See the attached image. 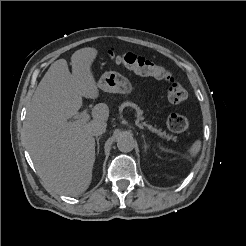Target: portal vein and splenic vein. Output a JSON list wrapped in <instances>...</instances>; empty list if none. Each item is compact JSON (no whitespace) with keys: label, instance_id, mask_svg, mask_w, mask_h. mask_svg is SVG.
Returning <instances> with one entry per match:
<instances>
[{"label":"portal vein and splenic vein","instance_id":"18ae733b","mask_svg":"<svg viewBox=\"0 0 246 246\" xmlns=\"http://www.w3.org/2000/svg\"><path fill=\"white\" fill-rule=\"evenodd\" d=\"M90 120V116L89 114H87L86 112L81 113L79 116L75 117V121L74 122H80V123H86ZM136 125L142 129L145 130L146 128L151 130L152 127L151 126H145L144 124L139 123L138 121L136 122Z\"/></svg>","mask_w":246,"mask_h":246}]
</instances>
